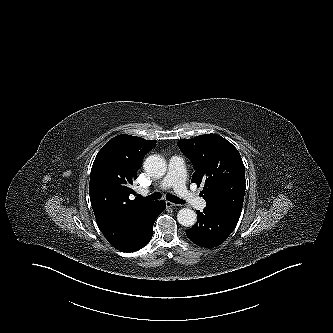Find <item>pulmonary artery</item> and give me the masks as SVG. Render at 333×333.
I'll return each mask as SVG.
<instances>
[{"instance_id": "pulmonary-artery-1", "label": "pulmonary artery", "mask_w": 333, "mask_h": 333, "mask_svg": "<svg viewBox=\"0 0 333 333\" xmlns=\"http://www.w3.org/2000/svg\"><path fill=\"white\" fill-rule=\"evenodd\" d=\"M170 187H173L178 196L190 206L197 209H203L206 206L204 199L198 197L186 187L184 159L181 156H173L170 159L168 174L159 184V188L162 190Z\"/></svg>"}]
</instances>
